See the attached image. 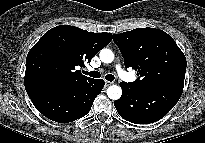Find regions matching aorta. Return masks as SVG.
<instances>
[{
	"label": "aorta",
	"mask_w": 205,
	"mask_h": 143,
	"mask_svg": "<svg viewBox=\"0 0 205 143\" xmlns=\"http://www.w3.org/2000/svg\"><path fill=\"white\" fill-rule=\"evenodd\" d=\"M100 59L103 63H111L114 60L112 50L104 48L100 51ZM122 95V89L118 85H112L107 89V96L112 100H118Z\"/></svg>",
	"instance_id": "obj_1"
}]
</instances>
